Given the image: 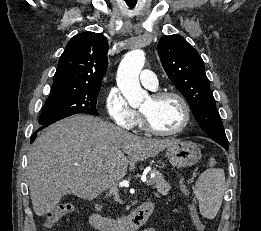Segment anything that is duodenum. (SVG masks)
<instances>
[{
    "instance_id": "obj_1",
    "label": "duodenum",
    "mask_w": 261,
    "mask_h": 231,
    "mask_svg": "<svg viewBox=\"0 0 261 231\" xmlns=\"http://www.w3.org/2000/svg\"><path fill=\"white\" fill-rule=\"evenodd\" d=\"M152 209L151 202H144L124 219L117 221L96 213L91 216L90 223L93 228L100 231H135L148 219Z\"/></svg>"
}]
</instances>
